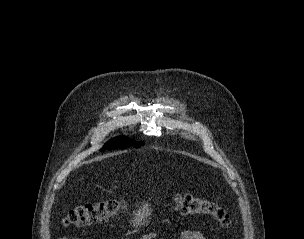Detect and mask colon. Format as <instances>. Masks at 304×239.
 <instances>
[{"mask_svg":"<svg viewBox=\"0 0 304 239\" xmlns=\"http://www.w3.org/2000/svg\"><path fill=\"white\" fill-rule=\"evenodd\" d=\"M175 201L178 211L182 214L209 216L224 228L231 224L227 211L213 200L191 194H178ZM123 208L124 202L119 199L109 198L88 202L72 209L63 219V224L72 227H87L109 220Z\"/></svg>","mask_w":304,"mask_h":239,"instance_id":"1","label":"colon"}]
</instances>
